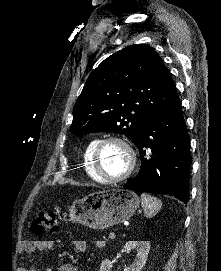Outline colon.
Instances as JSON below:
<instances>
[{
  "label": "colon",
  "instance_id": "1",
  "mask_svg": "<svg viewBox=\"0 0 221 271\" xmlns=\"http://www.w3.org/2000/svg\"><path fill=\"white\" fill-rule=\"evenodd\" d=\"M57 214L52 211H40L31 224V233L42 234L45 231L56 230Z\"/></svg>",
  "mask_w": 221,
  "mask_h": 271
}]
</instances>
